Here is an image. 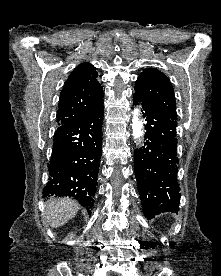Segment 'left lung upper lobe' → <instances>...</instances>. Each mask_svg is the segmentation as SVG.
Returning <instances> with one entry per match:
<instances>
[{"instance_id": "left-lung-upper-lobe-1", "label": "left lung upper lobe", "mask_w": 221, "mask_h": 276, "mask_svg": "<svg viewBox=\"0 0 221 276\" xmlns=\"http://www.w3.org/2000/svg\"><path fill=\"white\" fill-rule=\"evenodd\" d=\"M141 103L156 114L176 120V103L170 80L155 68H147L135 83V93Z\"/></svg>"}]
</instances>
